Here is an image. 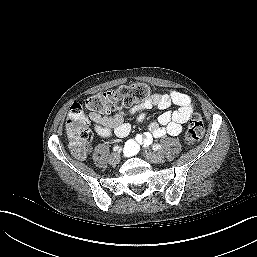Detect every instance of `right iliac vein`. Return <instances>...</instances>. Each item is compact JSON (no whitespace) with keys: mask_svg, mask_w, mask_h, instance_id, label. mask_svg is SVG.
Returning <instances> with one entry per match:
<instances>
[{"mask_svg":"<svg viewBox=\"0 0 257 257\" xmlns=\"http://www.w3.org/2000/svg\"><path fill=\"white\" fill-rule=\"evenodd\" d=\"M120 161V154L117 152H113L110 156V162L111 163H118Z\"/></svg>","mask_w":257,"mask_h":257,"instance_id":"63e3f726","label":"right iliac vein"}]
</instances>
